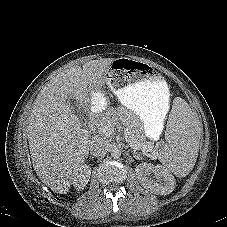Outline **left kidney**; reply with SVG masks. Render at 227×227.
I'll use <instances>...</instances> for the list:
<instances>
[{"instance_id":"left-kidney-1","label":"left kidney","mask_w":227,"mask_h":227,"mask_svg":"<svg viewBox=\"0 0 227 227\" xmlns=\"http://www.w3.org/2000/svg\"><path fill=\"white\" fill-rule=\"evenodd\" d=\"M135 172L141 185L153 194L167 195L175 189L174 176L162 165L144 162L136 166Z\"/></svg>"}]
</instances>
